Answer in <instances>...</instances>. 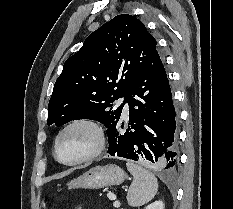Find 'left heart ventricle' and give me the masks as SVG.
I'll use <instances>...</instances> for the list:
<instances>
[{
	"label": "left heart ventricle",
	"mask_w": 233,
	"mask_h": 209,
	"mask_svg": "<svg viewBox=\"0 0 233 209\" xmlns=\"http://www.w3.org/2000/svg\"><path fill=\"white\" fill-rule=\"evenodd\" d=\"M95 145V134L86 126L69 129L60 139L58 155L64 161H74L88 154Z\"/></svg>",
	"instance_id": "obj_1"
}]
</instances>
